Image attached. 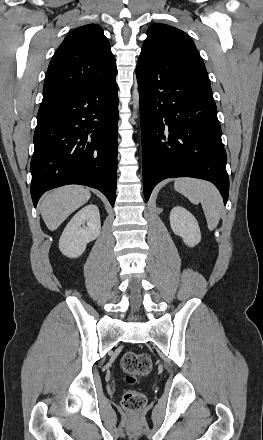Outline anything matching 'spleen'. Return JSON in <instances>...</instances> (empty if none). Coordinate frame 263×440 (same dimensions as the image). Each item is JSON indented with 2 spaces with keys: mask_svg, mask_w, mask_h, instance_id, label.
I'll return each instance as SVG.
<instances>
[{
  "mask_svg": "<svg viewBox=\"0 0 263 440\" xmlns=\"http://www.w3.org/2000/svg\"><path fill=\"white\" fill-rule=\"evenodd\" d=\"M174 188L193 204L201 203L209 230L217 227L223 211V200L212 183L191 177H180L175 179Z\"/></svg>",
  "mask_w": 263,
  "mask_h": 440,
  "instance_id": "obj_1",
  "label": "spleen"
}]
</instances>
